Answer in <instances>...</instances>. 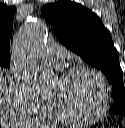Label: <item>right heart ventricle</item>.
I'll use <instances>...</instances> for the list:
<instances>
[{
	"mask_svg": "<svg viewBox=\"0 0 125 128\" xmlns=\"http://www.w3.org/2000/svg\"><path fill=\"white\" fill-rule=\"evenodd\" d=\"M36 115L44 120L65 122L66 120L56 111L50 97H45L44 101L36 111Z\"/></svg>",
	"mask_w": 125,
	"mask_h": 128,
	"instance_id": "e07e8e85",
	"label": "right heart ventricle"
}]
</instances>
